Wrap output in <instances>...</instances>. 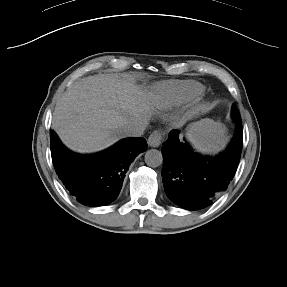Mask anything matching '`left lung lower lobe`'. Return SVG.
Here are the masks:
<instances>
[{
  "label": "left lung lower lobe",
  "mask_w": 287,
  "mask_h": 287,
  "mask_svg": "<svg viewBox=\"0 0 287 287\" xmlns=\"http://www.w3.org/2000/svg\"><path fill=\"white\" fill-rule=\"evenodd\" d=\"M230 146L219 156L195 154L173 130L163 144L162 176L167 197L178 206L198 210L209 206L232 180L240 160L243 141L241 117Z\"/></svg>",
  "instance_id": "1"
}]
</instances>
